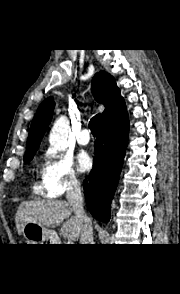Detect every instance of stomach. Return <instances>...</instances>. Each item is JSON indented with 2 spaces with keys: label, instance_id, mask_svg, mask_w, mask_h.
<instances>
[{
  "label": "stomach",
  "instance_id": "0dacf381",
  "mask_svg": "<svg viewBox=\"0 0 180 294\" xmlns=\"http://www.w3.org/2000/svg\"><path fill=\"white\" fill-rule=\"evenodd\" d=\"M22 233L28 244H48V241H51L50 244H54L57 238L55 231L37 223H26Z\"/></svg>",
  "mask_w": 180,
  "mask_h": 294
}]
</instances>
